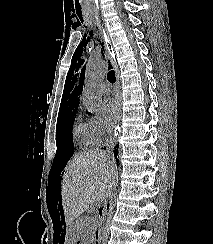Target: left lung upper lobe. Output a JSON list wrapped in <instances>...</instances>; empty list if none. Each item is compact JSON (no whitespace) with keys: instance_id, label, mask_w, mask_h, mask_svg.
I'll return each instance as SVG.
<instances>
[{"instance_id":"left-lung-upper-lobe-1","label":"left lung upper lobe","mask_w":213,"mask_h":244,"mask_svg":"<svg viewBox=\"0 0 213 244\" xmlns=\"http://www.w3.org/2000/svg\"><path fill=\"white\" fill-rule=\"evenodd\" d=\"M80 56H77L76 59L73 58L69 72H68V75H67V78H66L64 95H67L68 97H69L70 88L71 89L73 88L74 82H75L77 75H78V71H79V69L83 63V61L80 59ZM84 70H85V66L81 70V74H80L81 75V77H80L81 81L83 80Z\"/></svg>"}]
</instances>
